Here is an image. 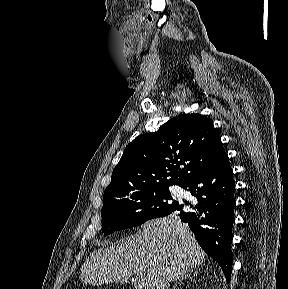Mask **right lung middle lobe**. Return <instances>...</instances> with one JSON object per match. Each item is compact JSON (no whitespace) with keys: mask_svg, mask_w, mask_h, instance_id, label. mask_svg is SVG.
Segmentation results:
<instances>
[{"mask_svg":"<svg viewBox=\"0 0 288 289\" xmlns=\"http://www.w3.org/2000/svg\"><path fill=\"white\" fill-rule=\"evenodd\" d=\"M168 188H147L104 198L101 210L102 232L108 235L167 215L178 205L177 201H172Z\"/></svg>","mask_w":288,"mask_h":289,"instance_id":"obj_1","label":"right lung middle lobe"}]
</instances>
